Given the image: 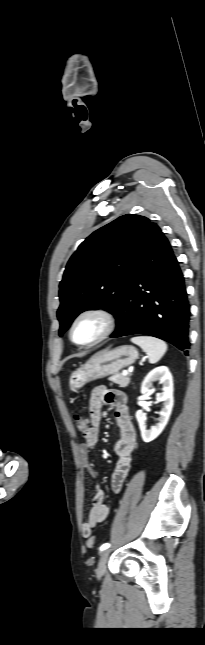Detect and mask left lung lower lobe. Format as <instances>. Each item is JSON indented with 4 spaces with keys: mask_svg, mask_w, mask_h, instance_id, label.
<instances>
[{
    "mask_svg": "<svg viewBox=\"0 0 205 645\" xmlns=\"http://www.w3.org/2000/svg\"><path fill=\"white\" fill-rule=\"evenodd\" d=\"M122 313L112 338L145 334L188 355L190 305L184 277L169 241L150 223L129 270Z\"/></svg>",
    "mask_w": 205,
    "mask_h": 645,
    "instance_id": "0a47b994",
    "label": "left lung lower lobe"
}]
</instances>
